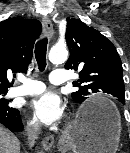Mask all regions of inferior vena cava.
Listing matches in <instances>:
<instances>
[{
	"instance_id": "602c4592",
	"label": "inferior vena cava",
	"mask_w": 130,
	"mask_h": 153,
	"mask_svg": "<svg viewBox=\"0 0 130 153\" xmlns=\"http://www.w3.org/2000/svg\"><path fill=\"white\" fill-rule=\"evenodd\" d=\"M26 133L28 136V140L31 144L35 143V140L38 138L40 133V125L39 123H31L26 127Z\"/></svg>"
}]
</instances>
